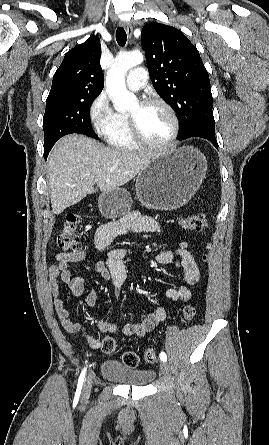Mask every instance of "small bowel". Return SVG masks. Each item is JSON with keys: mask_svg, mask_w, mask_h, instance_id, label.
<instances>
[{"mask_svg": "<svg viewBox=\"0 0 269 445\" xmlns=\"http://www.w3.org/2000/svg\"><path fill=\"white\" fill-rule=\"evenodd\" d=\"M160 224L150 216L140 212H131L126 217L101 225L95 233V246L99 251L104 250L116 237L129 232H157ZM86 251L81 250L76 253L60 252L56 254V263L49 268L48 288L53 296L55 311L62 327L68 333H82L92 349H99L101 341L86 333L84 327L70 319L65 308L64 301L60 297V283L65 284L71 292L72 298L80 297L84 292V279L74 276L70 264L80 261L85 257ZM126 250L115 248L108 252L104 260L97 261L94 271L101 275L103 279L114 286L115 295L127 280V270L125 266ZM156 261L162 265H169L179 268L185 284L177 288H167L164 291L165 297L172 302L186 303L192 298V291L189 286L195 285L200 279V271L193 255L188 250L186 241L180 239L175 250H163L156 255ZM98 295L95 290L88 293L86 304L89 308H94L97 304ZM166 317V310L163 306L157 307L143 321L120 325L115 322L100 321L98 329L103 333H122L124 335L143 336L151 331Z\"/></svg>", "mask_w": 269, "mask_h": 445, "instance_id": "small-bowel-1", "label": "small bowel"}]
</instances>
